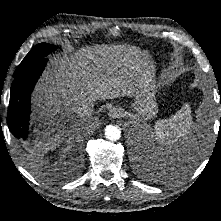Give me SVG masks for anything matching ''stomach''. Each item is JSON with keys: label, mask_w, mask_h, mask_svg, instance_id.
<instances>
[{"label": "stomach", "mask_w": 221, "mask_h": 221, "mask_svg": "<svg viewBox=\"0 0 221 221\" xmlns=\"http://www.w3.org/2000/svg\"><path fill=\"white\" fill-rule=\"evenodd\" d=\"M156 92L155 67L153 61L144 54L135 82L134 101L129 109L143 119L154 117L157 113Z\"/></svg>", "instance_id": "stomach-1"}]
</instances>
